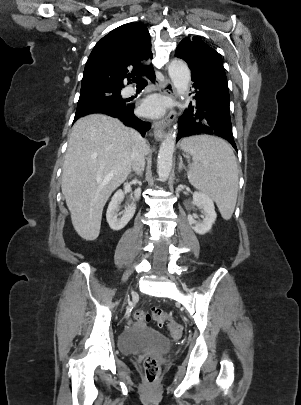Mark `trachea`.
Masks as SVG:
<instances>
[{
  "label": "trachea",
  "mask_w": 301,
  "mask_h": 405,
  "mask_svg": "<svg viewBox=\"0 0 301 405\" xmlns=\"http://www.w3.org/2000/svg\"><path fill=\"white\" fill-rule=\"evenodd\" d=\"M133 82H135L137 84V86H146L147 85V81L144 78L141 77H134Z\"/></svg>",
  "instance_id": "obj_1"
}]
</instances>
